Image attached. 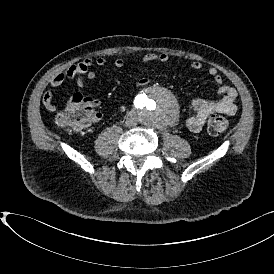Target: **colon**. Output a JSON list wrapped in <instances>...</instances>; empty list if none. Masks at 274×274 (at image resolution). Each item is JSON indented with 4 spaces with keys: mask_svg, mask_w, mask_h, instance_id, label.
<instances>
[{
    "mask_svg": "<svg viewBox=\"0 0 274 274\" xmlns=\"http://www.w3.org/2000/svg\"><path fill=\"white\" fill-rule=\"evenodd\" d=\"M74 101L61 111L55 118L58 127L71 131H79L94 120L93 112L83 103V98ZM228 128L224 116L213 115L208 120V132L213 135L223 134Z\"/></svg>",
    "mask_w": 274,
    "mask_h": 274,
    "instance_id": "colon-1",
    "label": "colon"
}]
</instances>
